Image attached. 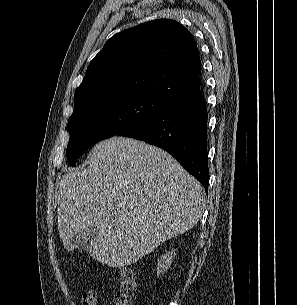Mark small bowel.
Returning <instances> with one entry per match:
<instances>
[{
  "label": "small bowel",
  "mask_w": 297,
  "mask_h": 305,
  "mask_svg": "<svg viewBox=\"0 0 297 305\" xmlns=\"http://www.w3.org/2000/svg\"><path fill=\"white\" fill-rule=\"evenodd\" d=\"M82 305H97V294L89 291L83 295ZM102 305H111L109 302L103 303Z\"/></svg>",
  "instance_id": "c3829d8e"
}]
</instances>
